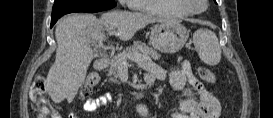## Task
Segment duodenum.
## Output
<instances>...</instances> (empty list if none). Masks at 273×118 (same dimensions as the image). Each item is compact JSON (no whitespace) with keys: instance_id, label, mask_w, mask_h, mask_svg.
Returning <instances> with one entry per match:
<instances>
[{"instance_id":"obj_1","label":"duodenum","mask_w":273,"mask_h":118,"mask_svg":"<svg viewBox=\"0 0 273 118\" xmlns=\"http://www.w3.org/2000/svg\"><path fill=\"white\" fill-rule=\"evenodd\" d=\"M108 65V62L106 59H99L96 61L95 63V67L99 70H103L107 67ZM153 82L152 81H145V87L144 88H141L139 89L137 92H136V95L137 96H141L144 92V90L147 88V87H150L152 86Z\"/></svg>"}]
</instances>
